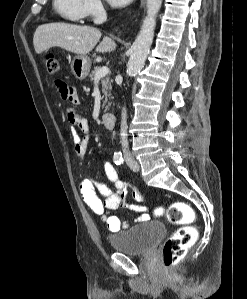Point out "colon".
<instances>
[{"instance_id":"1","label":"colon","mask_w":247,"mask_h":299,"mask_svg":"<svg viewBox=\"0 0 247 299\" xmlns=\"http://www.w3.org/2000/svg\"><path fill=\"white\" fill-rule=\"evenodd\" d=\"M48 73L55 74L59 70V62L53 53H49L45 58ZM133 191L143 196L136 188ZM156 216L165 215L168 222L177 225L178 228L165 241L162 248V259L166 269L176 265L187 253L190 246L197 238V230L192 225L194 212L192 208L184 202H174L168 208H156Z\"/></svg>"}]
</instances>
